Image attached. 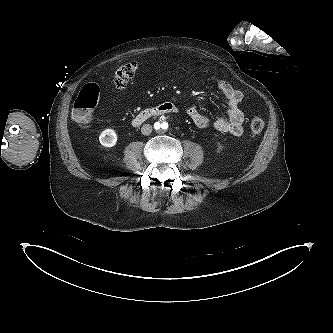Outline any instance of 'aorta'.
I'll list each match as a JSON object with an SVG mask.
<instances>
[{"label":"aorta","instance_id":"762f6f07","mask_svg":"<svg viewBox=\"0 0 333 333\" xmlns=\"http://www.w3.org/2000/svg\"><path fill=\"white\" fill-rule=\"evenodd\" d=\"M154 127L158 133H164L168 129V123L166 121H158L154 124Z\"/></svg>","mask_w":333,"mask_h":333}]
</instances>
